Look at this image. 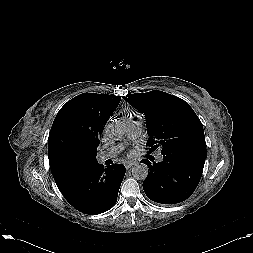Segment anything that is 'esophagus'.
Here are the masks:
<instances>
[{
    "instance_id": "34e87169",
    "label": "esophagus",
    "mask_w": 253,
    "mask_h": 253,
    "mask_svg": "<svg viewBox=\"0 0 253 253\" xmlns=\"http://www.w3.org/2000/svg\"><path fill=\"white\" fill-rule=\"evenodd\" d=\"M133 165H134L133 161H128V162L125 163L126 169H130Z\"/></svg>"
}]
</instances>
